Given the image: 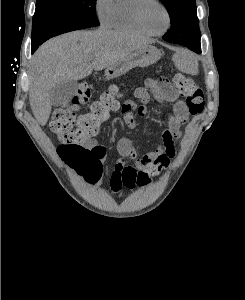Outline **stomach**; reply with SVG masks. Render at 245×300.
I'll return each mask as SVG.
<instances>
[{
	"instance_id": "1",
	"label": "stomach",
	"mask_w": 245,
	"mask_h": 300,
	"mask_svg": "<svg viewBox=\"0 0 245 300\" xmlns=\"http://www.w3.org/2000/svg\"><path fill=\"white\" fill-rule=\"evenodd\" d=\"M161 56L162 54L160 50H158L156 47L148 45L138 48L127 57L107 67L105 76L108 79H113L125 74L132 68H144L150 66L156 63L161 58Z\"/></svg>"
}]
</instances>
